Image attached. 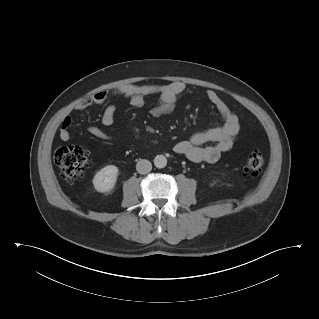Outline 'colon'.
<instances>
[{
    "label": "colon",
    "mask_w": 319,
    "mask_h": 319,
    "mask_svg": "<svg viewBox=\"0 0 319 319\" xmlns=\"http://www.w3.org/2000/svg\"><path fill=\"white\" fill-rule=\"evenodd\" d=\"M55 162L63 177L69 181L82 179L86 173L88 162L87 151L79 145L59 148L55 154ZM264 165V157L258 148H254L247 156L245 171L257 173Z\"/></svg>",
    "instance_id": "1"
}]
</instances>
